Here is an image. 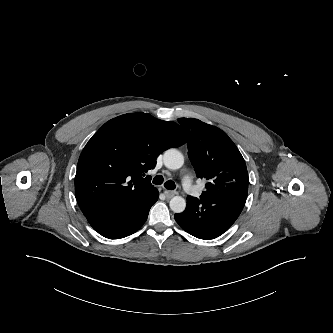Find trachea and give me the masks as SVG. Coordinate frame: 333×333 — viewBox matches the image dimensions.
Returning <instances> with one entry per match:
<instances>
[{
	"label": "trachea",
	"mask_w": 333,
	"mask_h": 333,
	"mask_svg": "<svg viewBox=\"0 0 333 333\" xmlns=\"http://www.w3.org/2000/svg\"><path fill=\"white\" fill-rule=\"evenodd\" d=\"M154 184L156 185H161L164 182V178L162 175H157L154 177L153 181ZM164 187L169 190H173L176 188L175 183L172 180H168L164 183Z\"/></svg>",
	"instance_id": "obj_1"
}]
</instances>
